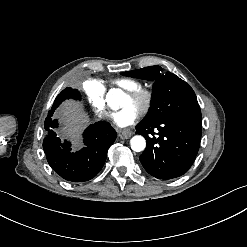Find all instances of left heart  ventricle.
Returning <instances> with one entry per match:
<instances>
[{"instance_id":"obj_1","label":"left heart ventricle","mask_w":247,"mask_h":247,"mask_svg":"<svg viewBox=\"0 0 247 247\" xmlns=\"http://www.w3.org/2000/svg\"><path fill=\"white\" fill-rule=\"evenodd\" d=\"M132 100L129 98L127 101V105L131 104Z\"/></svg>"}]
</instances>
